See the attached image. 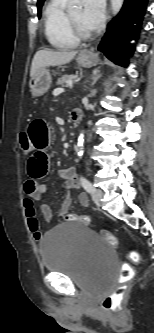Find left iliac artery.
Listing matches in <instances>:
<instances>
[{
	"label": "left iliac artery",
	"instance_id": "obj_1",
	"mask_svg": "<svg viewBox=\"0 0 154 333\" xmlns=\"http://www.w3.org/2000/svg\"><path fill=\"white\" fill-rule=\"evenodd\" d=\"M80 182L83 188L88 192V193H93L94 192V187L91 184V182L86 179L85 177L81 176L80 177Z\"/></svg>",
	"mask_w": 154,
	"mask_h": 333
}]
</instances>
